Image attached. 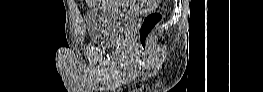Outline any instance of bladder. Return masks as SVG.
Segmentation results:
<instances>
[{"label":"bladder","instance_id":"1","mask_svg":"<svg viewBox=\"0 0 263 92\" xmlns=\"http://www.w3.org/2000/svg\"><path fill=\"white\" fill-rule=\"evenodd\" d=\"M105 3L106 5H101ZM86 17V29L91 41L108 46L117 45L128 32L138 12L118 6V1H99Z\"/></svg>","mask_w":263,"mask_h":92}]
</instances>
